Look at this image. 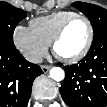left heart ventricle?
<instances>
[{
    "label": "left heart ventricle",
    "instance_id": "b2bd125f",
    "mask_svg": "<svg viewBox=\"0 0 107 107\" xmlns=\"http://www.w3.org/2000/svg\"><path fill=\"white\" fill-rule=\"evenodd\" d=\"M89 35L88 26L82 19H76L67 27L63 37L56 46L60 57H72L85 46Z\"/></svg>",
    "mask_w": 107,
    "mask_h": 107
}]
</instances>
